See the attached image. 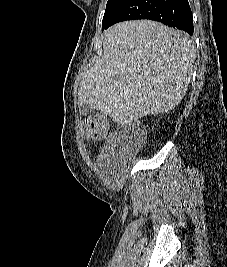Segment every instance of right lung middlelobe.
Listing matches in <instances>:
<instances>
[{
    "mask_svg": "<svg viewBox=\"0 0 227 267\" xmlns=\"http://www.w3.org/2000/svg\"><path fill=\"white\" fill-rule=\"evenodd\" d=\"M127 0H108L102 20V28L106 26Z\"/></svg>",
    "mask_w": 227,
    "mask_h": 267,
    "instance_id": "dd1d6c3e",
    "label": "right lung middle lobe"
}]
</instances>
